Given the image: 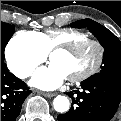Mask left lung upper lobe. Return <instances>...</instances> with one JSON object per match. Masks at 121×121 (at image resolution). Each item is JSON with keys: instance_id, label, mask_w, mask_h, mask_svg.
<instances>
[{"instance_id": "1", "label": "left lung upper lobe", "mask_w": 121, "mask_h": 121, "mask_svg": "<svg viewBox=\"0 0 121 121\" xmlns=\"http://www.w3.org/2000/svg\"><path fill=\"white\" fill-rule=\"evenodd\" d=\"M73 28L87 27L104 47L101 71L89 79L105 78L121 84V42L107 28L91 20H79L71 24Z\"/></svg>"}]
</instances>
